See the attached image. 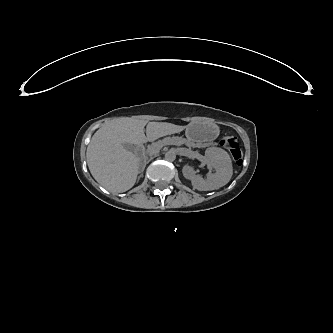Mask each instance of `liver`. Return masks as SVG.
<instances>
[{
    "mask_svg": "<svg viewBox=\"0 0 333 333\" xmlns=\"http://www.w3.org/2000/svg\"><path fill=\"white\" fill-rule=\"evenodd\" d=\"M142 134L119 137L111 134L95 135L87 147V164L94 179L106 189L124 192L133 187L138 175L139 158L123 144L140 145L149 140Z\"/></svg>",
    "mask_w": 333,
    "mask_h": 333,
    "instance_id": "1",
    "label": "liver"
}]
</instances>
